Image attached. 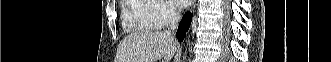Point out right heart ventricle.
<instances>
[{
	"instance_id": "e07e8e85",
	"label": "right heart ventricle",
	"mask_w": 331,
	"mask_h": 62,
	"mask_svg": "<svg viewBox=\"0 0 331 62\" xmlns=\"http://www.w3.org/2000/svg\"><path fill=\"white\" fill-rule=\"evenodd\" d=\"M151 6L145 0H127L122 10L123 26L128 30L150 32L155 28L149 21Z\"/></svg>"
}]
</instances>
